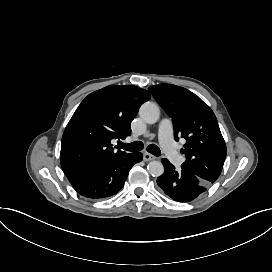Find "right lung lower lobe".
Wrapping results in <instances>:
<instances>
[{
	"label": "right lung lower lobe",
	"instance_id": "obj_1",
	"mask_svg": "<svg viewBox=\"0 0 272 272\" xmlns=\"http://www.w3.org/2000/svg\"><path fill=\"white\" fill-rule=\"evenodd\" d=\"M142 157V153H126L109 163L74 173L68 179L74 189L86 198H107L123 187L130 169Z\"/></svg>",
	"mask_w": 272,
	"mask_h": 272
}]
</instances>
